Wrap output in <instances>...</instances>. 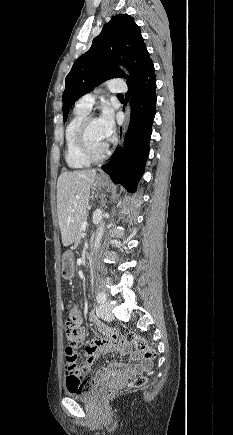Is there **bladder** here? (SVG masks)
<instances>
[{
	"label": "bladder",
	"instance_id": "obj_1",
	"mask_svg": "<svg viewBox=\"0 0 233 435\" xmlns=\"http://www.w3.org/2000/svg\"><path fill=\"white\" fill-rule=\"evenodd\" d=\"M101 385V383H95L92 384L90 386V389L84 392H71V391H65V395L73 398V399H77V400H89L94 398V396L96 395L97 389L99 388V386Z\"/></svg>",
	"mask_w": 233,
	"mask_h": 435
}]
</instances>
